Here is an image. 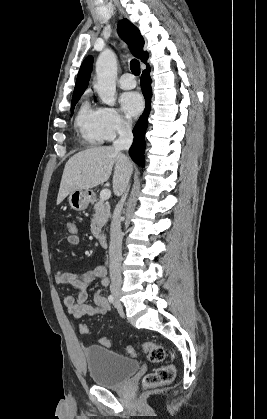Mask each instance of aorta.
I'll list each match as a JSON object with an SVG mask.
<instances>
[{
    "label": "aorta",
    "mask_w": 267,
    "mask_h": 419,
    "mask_svg": "<svg viewBox=\"0 0 267 419\" xmlns=\"http://www.w3.org/2000/svg\"><path fill=\"white\" fill-rule=\"evenodd\" d=\"M117 59L114 52L105 50L96 61L97 82L95 89L104 104L114 106L116 103Z\"/></svg>",
    "instance_id": "aorta-1"
}]
</instances>
